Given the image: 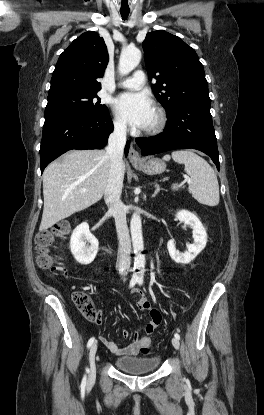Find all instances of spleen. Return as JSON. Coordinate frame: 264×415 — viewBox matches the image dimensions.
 <instances>
[{
  "mask_svg": "<svg viewBox=\"0 0 264 415\" xmlns=\"http://www.w3.org/2000/svg\"><path fill=\"white\" fill-rule=\"evenodd\" d=\"M185 165V172L190 176L189 193L199 203L216 206L219 203V185L217 176L212 167L202 157L190 150L173 151L171 156L165 155L164 160L170 158ZM173 190L178 189L177 184L172 185Z\"/></svg>",
  "mask_w": 264,
  "mask_h": 415,
  "instance_id": "3e777b00",
  "label": "spleen"
}]
</instances>
